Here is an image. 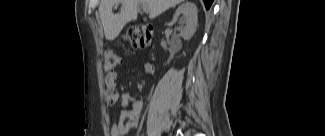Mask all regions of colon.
Here are the masks:
<instances>
[{
  "label": "colon",
  "mask_w": 325,
  "mask_h": 136,
  "mask_svg": "<svg viewBox=\"0 0 325 136\" xmlns=\"http://www.w3.org/2000/svg\"><path fill=\"white\" fill-rule=\"evenodd\" d=\"M153 28L150 25L131 27L125 34L126 41L135 48L145 47L151 43ZM122 64L121 56L113 49L104 52L103 69L107 73L114 72Z\"/></svg>",
  "instance_id": "obj_1"
}]
</instances>
